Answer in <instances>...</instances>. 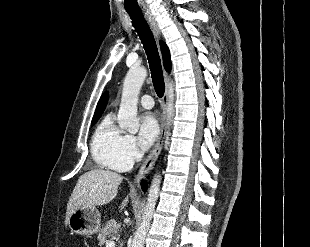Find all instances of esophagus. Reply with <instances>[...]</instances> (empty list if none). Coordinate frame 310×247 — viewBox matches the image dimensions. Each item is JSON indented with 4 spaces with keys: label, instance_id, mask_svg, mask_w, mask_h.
Segmentation results:
<instances>
[{
    "label": "esophagus",
    "instance_id": "34e87169",
    "mask_svg": "<svg viewBox=\"0 0 310 247\" xmlns=\"http://www.w3.org/2000/svg\"><path fill=\"white\" fill-rule=\"evenodd\" d=\"M145 16L148 19V22L153 30L154 35L156 36L157 39H159L160 30L155 17L150 13H146ZM165 86H166L165 93L162 99L163 117H162L160 135L154 148L152 149V151L149 153L144 163L142 164L141 169L135 178L136 183H139L140 178L145 177L152 170L157 158L161 153L164 139L167 134V128H168L167 113L169 106V87H170V82L167 73H165Z\"/></svg>",
    "mask_w": 310,
    "mask_h": 247
}]
</instances>
